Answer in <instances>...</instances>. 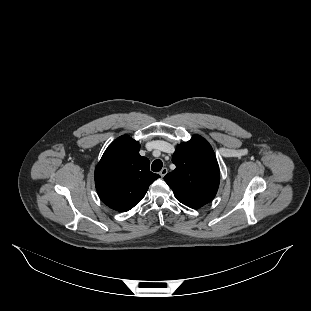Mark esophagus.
<instances>
[{"instance_id": "obj_1", "label": "esophagus", "mask_w": 311, "mask_h": 311, "mask_svg": "<svg viewBox=\"0 0 311 311\" xmlns=\"http://www.w3.org/2000/svg\"><path fill=\"white\" fill-rule=\"evenodd\" d=\"M168 172V169L166 167L162 168L161 171L159 172V174L161 175V177H164Z\"/></svg>"}]
</instances>
